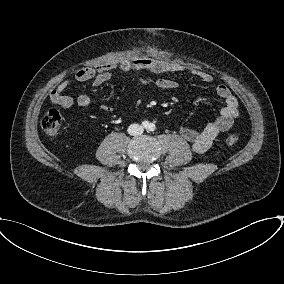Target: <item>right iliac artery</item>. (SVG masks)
<instances>
[{"mask_svg":"<svg viewBox=\"0 0 284 284\" xmlns=\"http://www.w3.org/2000/svg\"><path fill=\"white\" fill-rule=\"evenodd\" d=\"M142 125H143L144 128H147V127L149 126V123H148V121H144V122L142 123Z\"/></svg>","mask_w":284,"mask_h":284,"instance_id":"82829eb1","label":"right iliac artery"}]
</instances>
